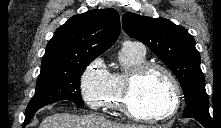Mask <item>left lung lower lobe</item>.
I'll list each match as a JSON object with an SVG mask.
<instances>
[{"label":"left lung lower lobe","mask_w":221,"mask_h":128,"mask_svg":"<svg viewBox=\"0 0 221 128\" xmlns=\"http://www.w3.org/2000/svg\"><path fill=\"white\" fill-rule=\"evenodd\" d=\"M198 122H200L205 128H213L212 118L205 119V118H194Z\"/></svg>","instance_id":"1"}]
</instances>
